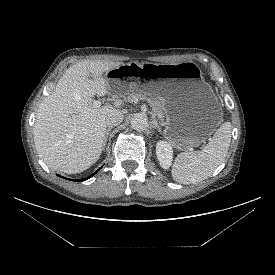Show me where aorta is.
<instances>
[{
	"instance_id": "762f6f07",
	"label": "aorta",
	"mask_w": 275,
	"mask_h": 275,
	"mask_svg": "<svg viewBox=\"0 0 275 275\" xmlns=\"http://www.w3.org/2000/svg\"><path fill=\"white\" fill-rule=\"evenodd\" d=\"M131 126L137 131H143L148 127V119L145 114L135 113L131 118Z\"/></svg>"
}]
</instances>
